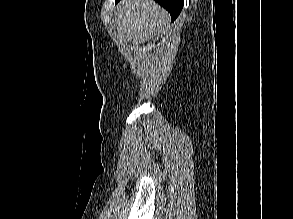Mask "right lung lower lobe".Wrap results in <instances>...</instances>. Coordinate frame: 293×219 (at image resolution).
Returning a JSON list of instances; mask_svg holds the SVG:
<instances>
[{
	"label": "right lung lower lobe",
	"mask_w": 293,
	"mask_h": 219,
	"mask_svg": "<svg viewBox=\"0 0 293 219\" xmlns=\"http://www.w3.org/2000/svg\"><path fill=\"white\" fill-rule=\"evenodd\" d=\"M120 0H116V3ZM163 6L171 15V20L174 21L180 14L183 8V0H155Z\"/></svg>",
	"instance_id": "right-lung-lower-lobe-1"
}]
</instances>
